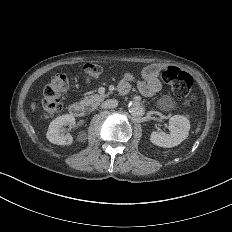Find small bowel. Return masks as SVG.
<instances>
[{
  "label": "small bowel",
  "mask_w": 232,
  "mask_h": 232,
  "mask_svg": "<svg viewBox=\"0 0 232 232\" xmlns=\"http://www.w3.org/2000/svg\"><path fill=\"white\" fill-rule=\"evenodd\" d=\"M159 71V65H151L144 73V83L142 84V91L145 96L152 97L160 88V84L156 79V75Z\"/></svg>",
  "instance_id": "1"
}]
</instances>
